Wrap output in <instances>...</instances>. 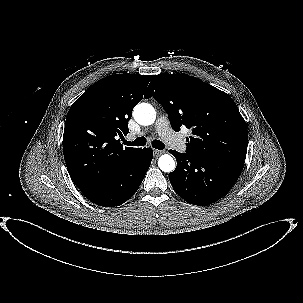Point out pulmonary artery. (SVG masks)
Instances as JSON below:
<instances>
[{
    "label": "pulmonary artery",
    "mask_w": 303,
    "mask_h": 303,
    "mask_svg": "<svg viewBox=\"0 0 303 303\" xmlns=\"http://www.w3.org/2000/svg\"><path fill=\"white\" fill-rule=\"evenodd\" d=\"M155 130L172 148L180 152H184L186 150L185 142L172 130L166 117L163 116L157 119Z\"/></svg>",
    "instance_id": "obj_1"
}]
</instances>
